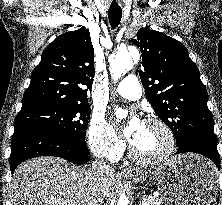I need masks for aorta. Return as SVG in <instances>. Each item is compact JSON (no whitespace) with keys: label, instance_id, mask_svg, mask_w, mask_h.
<instances>
[{"label":"aorta","instance_id":"aorta-1","mask_svg":"<svg viewBox=\"0 0 222 205\" xmlns=\"http://www.w3.org/2000/svg\"><path fill=\"white\" fill-rule=\"evenodd\" d=\"M133 65L134 62L128 50L118 51L110 60V70L114 81L120 79ZM118 112L121 114L123 111L119 109ZM130 193L129 190H124L120 195L118 205H128Z\"/></svg>","mask_w":222,"mask_h":205}]
</instances>
